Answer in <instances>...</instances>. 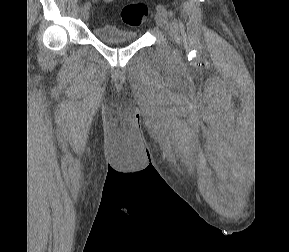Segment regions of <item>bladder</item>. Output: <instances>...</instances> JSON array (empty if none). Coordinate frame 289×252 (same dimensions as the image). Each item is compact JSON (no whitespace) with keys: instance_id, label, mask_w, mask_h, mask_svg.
I'll use <instances>...</instances> for the list:
<instances>
[{"instance_id":"31cf9c89","label":"bladder","mask_w":289,"mask_h":252,"mask_svg":"<svg viewBox=\"0 0 289 252\" xmlns=\"http://www.w3.org/2000/svg\"><path fill=\"white\" fill-rule=\"evenodd\" d=\"M93 34L100 41L107 44H123L133 42L138 38V32L121 29L112 25L96 26Z\"/></svg>"}]
</instances>
